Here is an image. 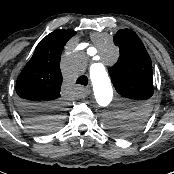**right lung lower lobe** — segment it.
<instances>
[{
	"instance_id": "right-lung-lower-lobe-1",
	"label": "right lung lower lobe",
	"mask_w": 174,
	"mask_h": 174,
	"mask_svg": "<svg viewBox=\"0 0 174 174\" xmlns=\"http://www.w3.org/2000/svg\"><path fill=\"white\" fill-rule=\"evenodd\" d=\"M57 106H62V105L59 102L58 104L53 105V104L28 102L25 100L18 99L19 111L26 120H31L37 115L46 114L52 111Z\"/></svg>"
}]
</instances>
